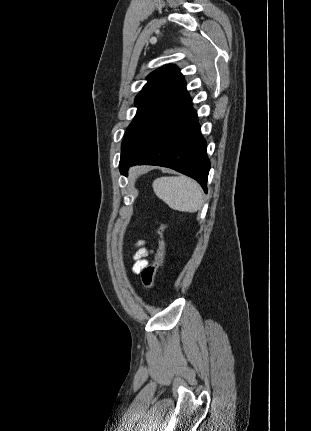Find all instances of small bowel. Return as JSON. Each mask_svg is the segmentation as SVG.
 Here are the masks:
<instances>
[{
    "instance_id": "1",
    "label": "small bowel",
    "mask_w": 311,
    "mask_h": 431,
    "mask_svg": "<svg viewBox=\"0 0 311 431\" xmlns=\"http://www.w3.org/2000/svg\"><path fill=\"white\" fill-rule=\"evenodd\" d=\"M143 245V241L138 243V250L134 255L135 263L133 265V271L135 273H139L148 264L146 257L148 256L149 251Z\"/></svg>"
}]
</instances>
